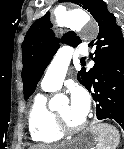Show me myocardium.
Listing matches in <instances>:
<instances>
[{"instance_id": "1", "label": "myocardium", "mask_w": 124, "mask_h": 149, "mask_svg": "<svg viewBox=\"0 0 124 149\" xmlns=\"http://www.w3.org/2000/svg\"><path fill=\"white\" fill-rule=\"evenodd\" d=\"M53 112L54 123L59 132L62 134H74L83 130L87 125V120H83L78 125H70L66 122V120L62 117V115L57 111Z\"/></svg>"}]
</instances>
